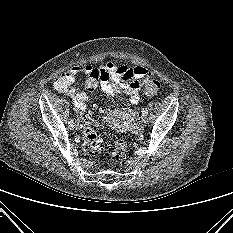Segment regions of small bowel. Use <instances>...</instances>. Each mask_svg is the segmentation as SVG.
Instances as JSON below:
<instances>
[{
	"mask_svg": "<svg viewBox=\"0 0 233 233\" xmlns=\"http://www.w3.org/2000/svg\"><path fill=\"white\" fill-rule=\"evenodd\" d=\"M93 69L91 65L74 66L59 79L66 84L64 87H59V80L56 82V88L72 98L79 118L85 116L89 97L85 92L77 90L73 83L78 75H89ZM100 69L108 75V80L101 83V88L107 95L116 98L120 94H125L133 104L139 103V89L142 79L150 75L146 68L142 66H118L112 62H106Z\"/></svg>",
	"mask_w": 233,
	"mask_h": 233,
	"instance_id": "obj_1",
	"label": "small bowel"
}]
</instances>
